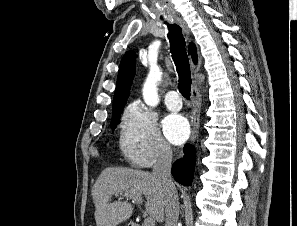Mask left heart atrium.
Instances as JSON below:
<instances>
[{
	"label": "left heart atrium",
	"mask_w": 297,
	"mask_h": 226,
	"mask_svg": "<svg viewBox=\"0 0 297 226\" xmlns=\"http://www.w3.org/2000/svg\"><path fill=\"white\" fill-rule=\"evenodd\" d=\"M162 126L165 136L173 144H181L189 136L188 122L181 115L170 114L166 116Z\"/></svg>",
	"instance_id": "left-heart-atrium-1"
}]
</instances>
